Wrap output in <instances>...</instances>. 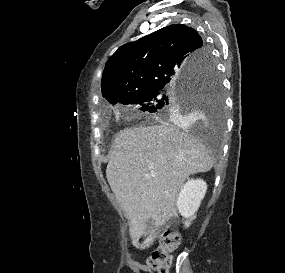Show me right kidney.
<instances>
[{"instance_id": "1", "label": "right kidney", "mask_w": 285, "mask_h": 273, "mask_svg": "<svg viewBox=\"0 0 285 273\" xmlns=\"http://www.w3.org/2000/svg\"><path fill=\"white\" fill-rule=\"evenodd\" d=\"M206 190L207 184L201 179L188 180L181 188L176 204L179 213L187 219L185 227H189L195 218V213L200 207Z\"/></svg>"}]
</instances>
